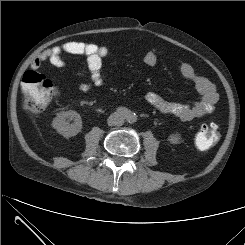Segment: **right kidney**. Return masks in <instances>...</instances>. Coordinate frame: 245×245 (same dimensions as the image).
<instances>
[{
  "instance_id": "1",
  "label": "right kidney",
  "mask_w": 245,
  "mask_h": 245,
  "mask_svg": "<svg viewBox=\"0 0 245 245\" xmlns=\"http://www.w3.org/2000/svg\"><path fill=\"white\" fill-rule=\"evenodd\" d=\"M74 119V123L69 124L66 120ZM52 126L65 138L76 136L82 129L80 115L73 110L60 112L52 121Z\"/></svg>"
}]
</instances>
